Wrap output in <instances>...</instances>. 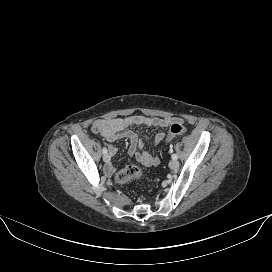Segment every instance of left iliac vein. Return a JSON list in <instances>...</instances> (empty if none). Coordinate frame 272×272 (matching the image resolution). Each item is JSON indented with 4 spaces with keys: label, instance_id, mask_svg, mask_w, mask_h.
Segmentation results:
<instances>
[{
    "label": "left iliac vein",
    "instance_id": "1",
    "mask_svg": "<svg viewBox=\"0 0 272 272\" xmlns=\"http://www.w3.org/2000/svg\"><path fill=\"white\" fill-rule=\"evenodd\" d=\"M178 166H179V162L177 160H171L169 163V167L171 169H176V168H178Z\"/></svg>",
    "mask_w": 272,
    "mask_h": 272
}]
</instances>
